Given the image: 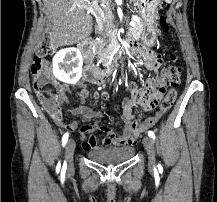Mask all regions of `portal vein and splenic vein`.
Masks as SVG:
<instances>
[{
	"mask_svg": "<svg viewBox=\"0 0 217 202\" xmlns=\"http://www.w3.org/2000/svg\"><path fill=\"white\" fill-rule=\"evenodd\" d=\"M95 2H97V0H95ZM88 10H90V8H88ZM130 26H136V24H135V22H133V20H132V22H130Z\"/></svg>",
	"mask_w": 217,
	"mask_h": 202,
	"instance_id": "1",
	"label": "portal vein and splenic vein"
}]
</instances>
